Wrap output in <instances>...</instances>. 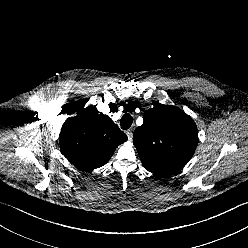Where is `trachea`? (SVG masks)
Wrapping results in <instances>:
<instances>
[{"label":"trachea","instance_id":"trachea-1","mask_svg":"<svg viewBox=\"0 0 248 248\" xmlns=\"http://www.w3.org/2000/svg\"><path fill=\"white\" fill-rule=\"evenodd\" d=\"M132 123H133V118L128 113L124 114L120 120V126L123 130L129 129Z\"/></svg>","mask_w":248,"mask_h":248}]
</instances>
